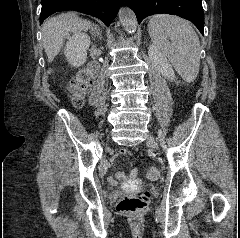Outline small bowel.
<instances>
[{"instance_id": "c3829d8e", "label": "small bowel", "mask_w": 240, "mask_h": 238, "mask_svg": "<svg viewBox=\"0 0 240 238\" xmlns=\"http://www.w3.org/2000/svg\"><path fill=\"white\" fill-rule=\"evenodd\" d=\"M120 156H132L131 159L128 160V171H130V174H139V169H137V162H133L137 160V157L134 156V151H129L127 149H122L119 151ZM111 163V162H110ZM111 167L110 165L108 166ZM125 170H112L111 174L108 175V183L112 184L113 187H116L119 183L118 179H115V175H125Z\"/></svg>"}]
</instances>
